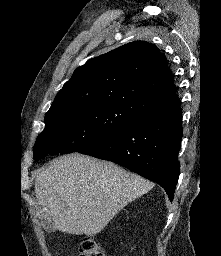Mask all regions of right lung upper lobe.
Returning a JSON list of instances; mask_svg holds the SVG:
<instances>
[{"instance_id":"1","label":"right lung upper lobe","mask_w":221,"mask_h":256,"mask_svg":"<svg viewBox=\"0 0 221 256\" xmlns=\"http://www.w3.org/2000/svg\"><path fill=\"white\" fill-rule=\"evenodd\" d=\"M114 104L139 118L180 106L165 56L135 41L88 60L57 93L48 113Z\"/></svg>"}]
</instances>
